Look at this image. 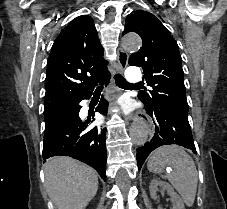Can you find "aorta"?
<instances>
[{"label": "aorta", "instance_id": "1", "mask_svg": "<svg viewBox=\"0 0 227 209\" xmlns=\"http://www.w3.org/2000/svg\"><path fill=\"white\" fill-rule=\"evenodd\" d=\"M142 41L136 34H130L122 40L123 47L128 51H136L140 48ZM132 141L140 146L143 145L149 137V128L144 121L135 123L130 131Z\"/></svg>", "mask_w": 227, "mask_h": 209}]
</instances>
